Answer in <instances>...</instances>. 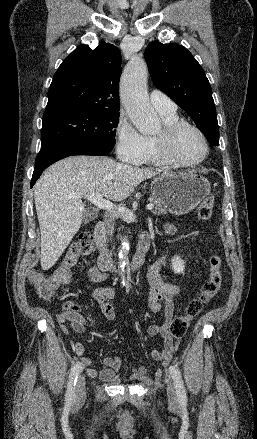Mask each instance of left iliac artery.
<instances>
[{
    "instance_id": "obj_1",
    "label": "left iliac artery",
    "mask_w": 257,
    "mask_h": 439,
    "mask_svg": "<svg viewBox=\"0 0 257 439\" xmlns=\"http://www.w3.org/2000/svg\"><path fill=\"white\" fill-rule=\"evenodd\" d=\"M169 372H170V375L172 376V378L174 380V384H175V388H176V393H177L178 399L181 402H185L187 400V396H186V392H185L182 376H181V373H180L179 369L177 367H175V366H171L170 369H169Z\"/></svg>"
}]
</instances>
